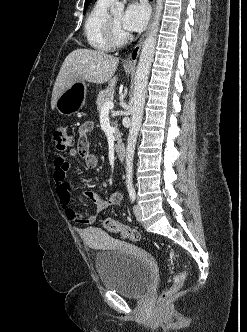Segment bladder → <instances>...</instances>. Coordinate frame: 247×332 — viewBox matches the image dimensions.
I'll return each instance as SVG.
<instances>
[{
    "mask_svg": "<svg viewBox=\"0 0 247 332\" xmlns=\"http://www.w3.org/2000/svg\"><path fill=\"white\" fill-rule=\"evenodd\" d=\"M86 243H90L85 237ZM95 267L102 286L127 298L139 299L150 290L155 275L152 255L133 246L118 243L98 252Z\"/></svg>",
    "mask_w": 247,
    "mask_h": 332,
    "instance_id": "1",
    "label": "bladder"
}]
</instances>
